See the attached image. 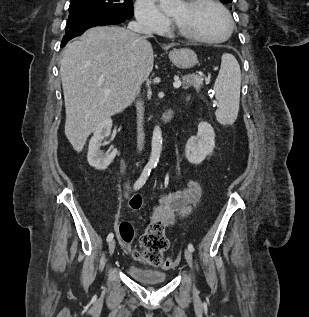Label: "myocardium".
I'll list each match as a JSON object with an SVG mask.
<instances>
[{
  "label": "myocardium",
  "instance_id": "1",
  "mask_svg": "<svg viewBox=\"0 0 309 317\" xmlns=\"http://www.w3.org/2000/svg\"><path fill=\"white\" fill-rule=\"evenodd\" d=\"M185 5L187 6L188 9H196L202 5L208 4L215 6L218 8L222 14L224 15L226 21H227V31L224 36L219 37V38H206L202 37L199 35L192 34L190 32H187L183 28L179 26V24L173 19V25H174V30L176 34H178L180 37L185 38L187 40L197 42V43H203V44H217V43H222L227 41L230 36L233 33L234 30V22L231 17V14L229 11L226 9L224 5H222L219 1L217 0H186Z\"/></svg>",
  "mask_w": 309,
  "mask_h": 317
}]
</instances>
